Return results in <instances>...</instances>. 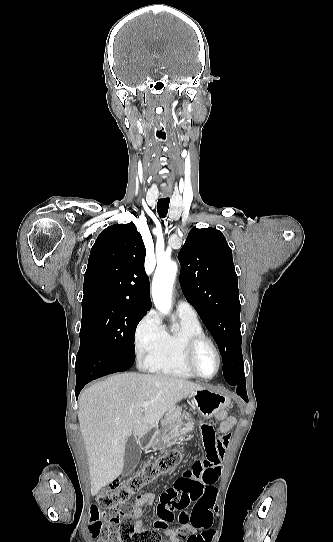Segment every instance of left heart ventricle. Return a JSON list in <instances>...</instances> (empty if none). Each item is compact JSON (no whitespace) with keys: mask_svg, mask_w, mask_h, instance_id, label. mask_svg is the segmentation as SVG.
<instances>
[{"mask_svg":"<svg viewBox=\"0 0 333 542\" xmlns=\"http://www.w3.org/2000/svg\"><path fill=\"white\" fill-rule=\"evenodd\" d=\"M194 365L197 371L203 376H211L216 371V358L213 350L208 344H202L194 358Z\"/></svg>","mask_w":333,"mask_h":542,"instance_id":"b2bd125f","label":"left heart ventricle"}]
</instances>
